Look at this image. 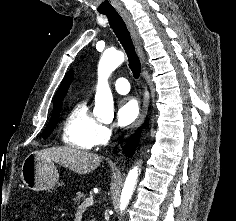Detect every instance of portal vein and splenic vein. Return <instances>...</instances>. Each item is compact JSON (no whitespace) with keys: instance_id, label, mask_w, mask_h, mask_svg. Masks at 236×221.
<instances>
[{"instance_id":"18ae733b","label":"portal vein and splenic vein","mask_w":236,"mask_h":221,"mask_svg":"<svg viewBox=\"0 0 236 221\" xmlns=\"http://www.w3.org/2000/svg\"><path fill=\"white\" fill-rule=\"evenodd\" d=\"M94 204V200L92 197L86 198L83 203L80 205V207H87V206H92Z\"/></svg>"}]
</instances>
